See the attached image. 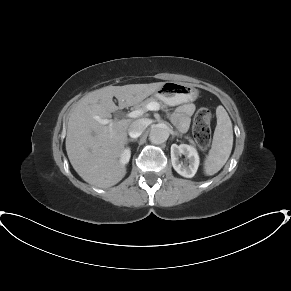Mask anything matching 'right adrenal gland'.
Masks as SVG:
<instances>
[{
    "label": "right adrenal gland",
    "instance_id": "right-adrenal-gland-1",
    "mask_svg": "<svg viewBox=\"0 0 291 291\" xmlns=\"http://www.w3.org/2000/svg\"><path fill=\"white\" fill-rule=\"evenodd\" d=\"M137 141V139H128L127 140V142L129 143V142H136Z\"/></svg>",
    "mask_w": 291,
    "mask_h": 291
}]
</instances>
